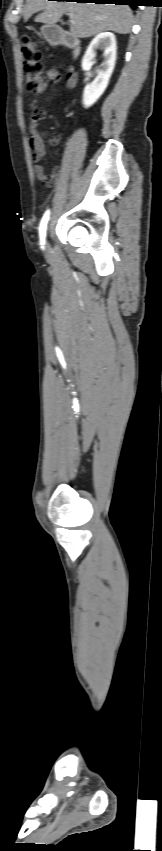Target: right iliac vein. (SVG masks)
Returning a JSON list of instances; mask_svg holds the SVG:
<instances>
[{
    "instance_id": "63e3f726",
    "label": "right iliac vein",
    "mask_w": 162,
    "mask_h": 851,
    "mask_svg": "<svg viewBox=\"0 0 162 851\" xmlns=\"http://www.w3.org/2000/svg\"><path fill=\"white\" fill-rule=\"evenodd\" d=\"M45 248H46V249L48 248L47 244H46Z\"/></svg>"
}]
</instances>
